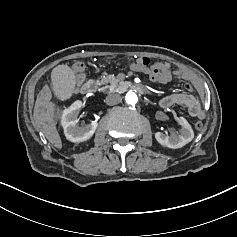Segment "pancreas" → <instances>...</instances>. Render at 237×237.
I'll return each instance as SVG.
<instances>
[{"label": "pancreas", "mask_w": 237, "mask_h": 237, "mask_svg": "<svg viewBox=\"0 0 237 237\" xmlns=\"http://www.w3.org/2000/svg\"><path fill=\"white\" fill-rule=\"evenodd\" d=\"M102 80H103V82L110 83V86H105L103 88V91H106V90L114 91L118 85V80L116 79V77L114 75H107L106 77H103Z\"/></svg>", "instance_id": "cf45deb5"}]
</instances>
